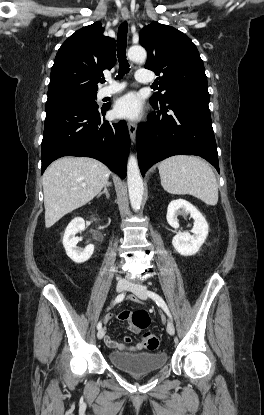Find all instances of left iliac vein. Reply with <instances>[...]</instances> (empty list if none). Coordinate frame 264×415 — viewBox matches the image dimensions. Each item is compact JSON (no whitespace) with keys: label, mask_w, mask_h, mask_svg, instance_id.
Instances as JSON below:
<instances>
[{"label":"left iliac vein","mask_w":264,"mask_h":415,"mask_svg":"<svg viewBox=\"0 0 264 415\" xmlns=\"http://www.w3.org/2000/svg\"><path fill=\"white\" fill-rule=\"evenodd\" d=\"M127 290L134 293L140 299H143V300L147 299L146 287L141 284L130 283L127 287ZM167 332L170 335H174L175 333V327L171 321L167 322Z\"/></svg>","instance_id":"obj_1"}]
</instances>
